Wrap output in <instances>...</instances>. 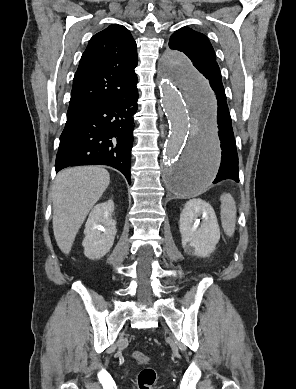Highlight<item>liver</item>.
Wrapping results in <instances>:
<instances>
[{"instance_id":"obj_1","label":"liver","mask_w":296,"mask_h":389,"mask_svg":"<svg viewBox=\"0 0 296 389\" xmlns=\"http://www.w3.org/2000/svg\"><path fill=\"white\" fill-rule=\"evenodd\" d=\"M110 183L102 167H74L58 173L52 189L53 231L60 250L69 254L91 208Z\"/></svg>"}]
</instances>
